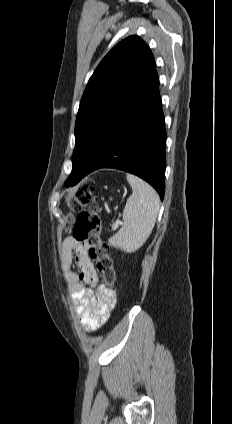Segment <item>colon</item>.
<instances>
[{
	"mask_svg": "<svg viewBox=\"0 0 232 424\" xmlns=\"http://www.w3.org/2000/svg\"><path fill=\"white\" fill-rule=\"evenodd\" d=\"M94 187V181L87 179L77 188L66 193V223L69 227L73 225V237L88 245L89 256L96 261L97 269L102 273L105 284L113 287L117 274L114 260L101 239V215L99 210L93 208ZM75 213H78L76 217H74Z\"/></svg>",
	"mask_w": 232,
	"mask_h": 424,
	"instance_id": "5ec220e1",
	"label": "colon"
}]
</instances>
